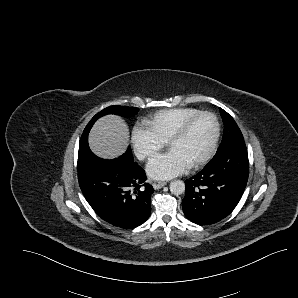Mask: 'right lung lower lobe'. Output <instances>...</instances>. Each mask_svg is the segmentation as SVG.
I'll list each match as a JSON object with an SVG mask.
<instances>
[{"mask_svg":"<svg viewBox=\"0 0 298 298\" xmlns=\"http://www.w3.org/2000/svg\"><path fill=\"white\" fill-rule=\"evenodd\" d=\"M78 180L86 200L106 222L131 229L148 219L154 189L145 183V172L133 155L105 160L91 152L78 160Z\"/></svg>","mask_w":298,"mask_h":298,"instance_id":"obj_1","label":"right lung lower lobe"}]
</instances>
